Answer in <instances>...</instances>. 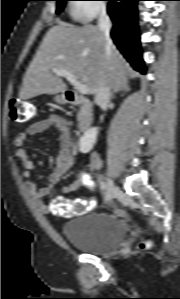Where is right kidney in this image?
I'll return each mask as SVG.
<instances>
[{
    "mask_svg": "<svg viewBox=\"0 0 180 299\" xmlns=\"http://www.w3.org/2000/svg\"><path fill=\"white\" fill-rule=\"evenodd\" d=\"M98 130L97 128L88 129L79 141V150L82 153H88L96 143Z\"/></svg>",
    "mask_w": 180,
    "mask_h": 299,
    "instance_id": "right-kidney-1",
    "label": "right kidney"
}]
</instances>
